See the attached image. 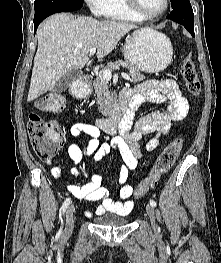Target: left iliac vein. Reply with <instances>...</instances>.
Masks as SVG:
<instances>
[{
	"label": "left iliac vein",
	"mask_w": 221,
	"mask_h": 263,
	"mask_svg": "<svg viewBox=\"0 0 221 263\" xmlns=\"http://www.w3.org/2000/svg\"><path fill=\"white\" fill-rule=\"evenodd\" d=\"M146 211H147V214H148L149 217H150V220H151V224H152L153 229L156 230V226H155V210H154V207L151 206V205H147V206H146Z\"/></svg>",
	"instance_id": "4c4485c4"
}]
</instances>
